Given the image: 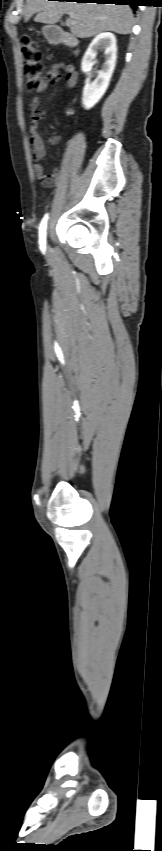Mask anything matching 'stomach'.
<instances>
[{
  "mask_svg": "<svg viewBox=\"0 0 162 851\" xmlns=\"http://www.w3.org/2000/svg\"><path fill=\"white\" fill-rule=\"evenodd\" d=\"M42 32L48 40H52V39L55 38V36L58 32V29H56L53 26H45V27H43Z\"/></svg>",
  "mask_w": 162,
  "mask_h": 851,
  "instance_id": "0dacf381",
  "label": "stomach"
}]
</instances>
